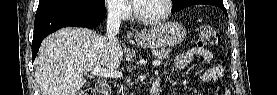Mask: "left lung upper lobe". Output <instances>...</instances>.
<instances>
[{
    "label": "left lung upper lobe",
    "instance_id": "left-lung-upper-lobe-1",
    "mask_svg": "<svg viewBox=\"0 0 277 95\" xmlns=\"http://www.w3.org/2000/svg\"><path fill=\"white\" fill-rule=\"evenodd\" d=\"M195 0H173L172 12L179 11Z\"/></svg>",
    "mask_w": 277,
    "mask_h": 95
}]
</instances>
